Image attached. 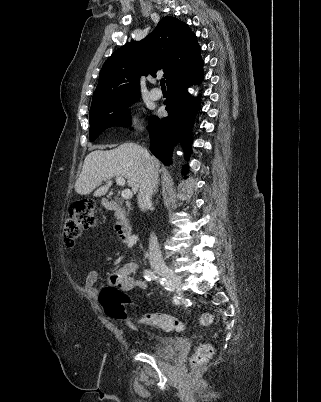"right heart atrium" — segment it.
<instances>
[{
	"label": "right heart atrium",
	"mask_w": 321,
	"mask_h": 402,
	"mask_svg": "<svg viewBox=\"0 0 321 402\" xmlns=\"http://www.w3.org/2000/svg\"><path fill=\"white\" fill-rule=\"evenodd\" d=\"M127 121L129 122V124H130L131 126H133V127H135V128H138V127H139V124H138V121H137V118H136L135 115L129 114V115L127 116Z\"/></svg>",
	"instance_id": "1"
}]
</instances>
